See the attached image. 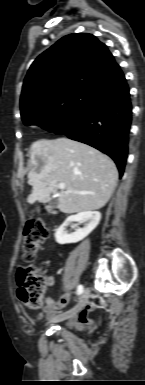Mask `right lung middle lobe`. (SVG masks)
I'll use <instances>...</instances> for the list:
<instances>
[{
    "label": "right lung middle lobe",
    "mask_w": 145,
    "mask_h": 385,
    "mask_svg": "<svg viewBox=\"0 0 145 385\" xmlns=\"http://www.w3.org/2000/svg\"><path fill=\"white\" fill-rule=\"evenodd\" d=\"M94 91L73 89L22 116L25 125H39L55 131L67 124L88 102Z\"/></svg>",
    "instance_id": "right-lung-middle-lobe-1"
}]
</instances>
